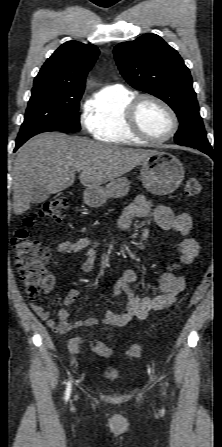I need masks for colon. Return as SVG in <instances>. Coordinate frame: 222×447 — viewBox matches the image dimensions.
<instances>
[{
	"mask_svg": "<svg viewBox=\"0 0 222 447\" xmlns=\"http://www.w3.org/2000/svg\"><path fill=\"white\" fill-rule=\"evenodd\" d=\"M202 191L199 180L195 177L187 179L185 184V194L189 197L198 196ZM68 208V201L65 197H57L47 201L38 216L26 218L23 225L18 228L12 238V247L15 253V266L18 270L20 280L24 283L26 294L30 300L34 301L39 297L41 289L52 279V274L47 267V262L51 256V249L48 244L33 239L28 232L38 217L52 221H61L65 218ZM215 275V267L208 264L204 269L200 281L194 288L193 293L185 303L184 308H192L197 305L207 292ZM92 349L101 357H109L112 354L111 348L100 341H95ZM142 354V347L139 344H132L128 350L129 358L136 359Z\"/></svg>",
	"mask_w": 222,
	"mask_h": 447,
	"instance_id": "colon-1",
	"label": "colon"
}]
</instances>
